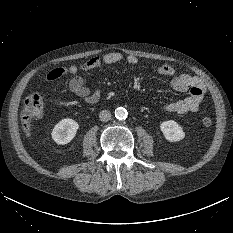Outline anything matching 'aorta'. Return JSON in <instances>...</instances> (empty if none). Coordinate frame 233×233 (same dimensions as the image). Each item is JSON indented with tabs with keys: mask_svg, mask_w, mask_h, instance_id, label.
<instances>
[{
	"mask_svg": "<svg viewBox=\"0 0 233 233\" xmlns=\"http://www.w3.org/2000/svg\"><path fill=\"white\" fill-rule=\"evenodd\" d=\"M127 110L123 107H118L115 109V117L119 120H123L127 117Z\"/></svg>",
	"mask_w": 233,
	"mask_h": 233,
	"instance_id": "762f6f07",
	"label": "aorta"
}]
</instances>
